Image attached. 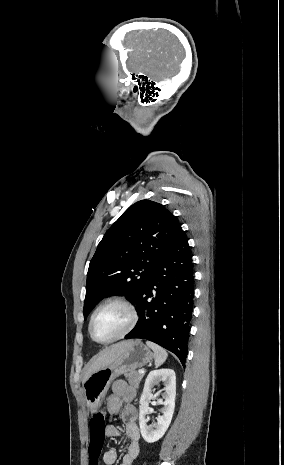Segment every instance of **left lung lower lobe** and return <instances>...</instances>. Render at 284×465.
<instances>
[{
	"label": "left lung lower lobe",
	"mask_w": 284,
	"mask_h": 465,
	"mask_svg": "<svg viewBox=\"0 0 284 465\" xmlns=\"http://www.w3.org/2000/svg\"><path fill=\"white\" fill-rule=\"evenodd\" d=\"M192 254L180 228L169 251L155 265L137 299L139 321L125 336L159 344L185 364L194 304Z\"/></svg>",
	"instance_id": "1"
}]
</instances>
